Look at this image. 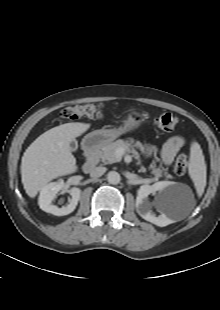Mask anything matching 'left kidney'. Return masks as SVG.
Wrapping results in <instances>:
<instances>
[{"mask_svg":"<svg viewBox=\"0 0 220 310\" xmlns=\"http://www.w3.org/2000/svg\"><path fill=\"white\" fill-rule=\"evenodd\" d=\"M175 188V183L170 181H160L153 185H142L137 194L136 207L140 216L157 226L164 227L171 223V220L163 212L165 206L168 204L167 195L173 191ZM159 191L160 195L157 197L155 206L161 211V214L156 217L151 212V204L148 203L147 197L151 193Z\"/></svg>","mask_w":220,"mask_h":310,"instance_id":"left-kidney-1","label":"left kidney"}]
</instances>
